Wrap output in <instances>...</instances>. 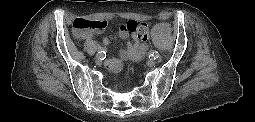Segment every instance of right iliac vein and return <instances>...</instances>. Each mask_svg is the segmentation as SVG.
I'll return each instance as SVG.
<instances>
[{"label":"right iliac vein","instance_id":"1","mask_svg":"<svg viewBox=\"0 0 255 122\" xmlns=\"http://www.w3.org/2000/svg\"><path fill=\"white\" fill-rule=\"evenodd\" d=\"M95 60H96L97 63L102 62V60H103V55H102V54H97V55L95 56Z\"/></svg>","mask_w":255,"mask_h":122}]
</instances>
